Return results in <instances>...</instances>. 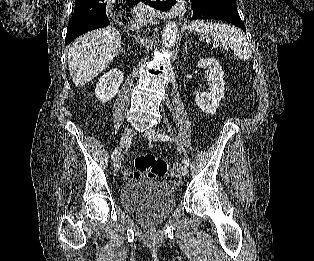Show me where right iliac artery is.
<instances>
[{
    "mask_svg": "<svg viewBox=\"0 0 314 261\" xmlns=\"http://www.w3.org/2000/svg\"><path fill=\"white\" fill-rule=\"evenodd\" d=\"M118 152V148H116L114 151H113V154L111 156L112 159H114V156L116 155V153Z\"/></svg>",
    "mask_w": 314,
    "mask_h": 261,
    "instance_id": "obj_1",
    "label": "right iliac artery"
}]
</instances>
